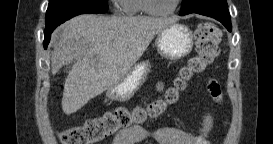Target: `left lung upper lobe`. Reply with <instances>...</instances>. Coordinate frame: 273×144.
<instances>
[{
    "label": "left lung upper lobe",
    "instance_id": "left-lung-upper-lobe-1",
    "mask_svg": "<svg viewBox=\"0 0 273 144\" xmlns=\"http://www.w3.org/2000/svg\"><path fill=\"white\" fill-rule=\"evenodd\" d=\"M203 1H216V0H203ZM196 3L200 4L201 0H183L180 13H187L195 9Z\"/></svg>",
    "mask_w": 273,
    "mask_h": 144
}]
</instances>
